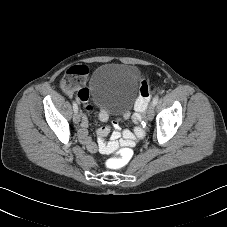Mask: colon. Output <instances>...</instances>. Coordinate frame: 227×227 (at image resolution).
<instances>
[{"label": "colon", "instance_id": "1", "mask_svg": "<svg viewBox=\"0 0 227 227\" xmlns=\"http://www.w3.org/2000/svg\"><path fill=\"white\" fill-rule=\"evenodd\" d=\"M61 83L69 90L75 91L77 90L78 94L85 93V89H80V75L74 73L66 74ZM156 83H151L149 81H141L140 83V94L135 104V109L137 110L136 119L137 121H141L143 119V112L147 108L149 98L151 94L156 90ZM140 109H144L143 111H139ZM131 160L130 153L126 150H120L112 159L111 162L113 166L116 168H122L127 165Z\"/></svg>", "mask_w": 227, "mask_h": 227}]
</instances>
